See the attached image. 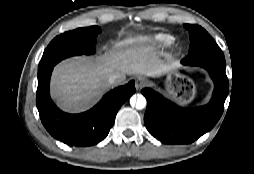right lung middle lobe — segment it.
Listing matches in <instances>:
<instances>
[{"mask_svg": "<svg viewBox=\"0 0 254 174\" xmlns=\"http://www.w3.org/2000/svg\"><path fill=\"white\" fill-rule=\"evenodd\" d=\"M101 29L97 26L79 28L55 37L45 49L38 65V76L61 60L80 54L95 52L96 37Z\"/></svg>", "mask_w": 254, "mask_h": 174, "instance_id": "dd1d6c3e", "label": "right lung middle lobe"}]
</instances>
